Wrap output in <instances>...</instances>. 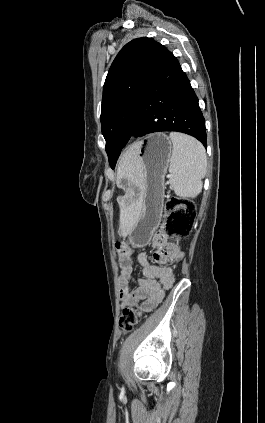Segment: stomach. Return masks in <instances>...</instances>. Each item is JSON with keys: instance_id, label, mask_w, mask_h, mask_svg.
Here are the masks:
<instances>
[{"instance_id": "1", "label": "stomach", "mask_w": 265, "mask_h": 423, "mask_svg": "<svg viewBox=\"0 0 265 423\" xmlns=\"http://www.w3.org/2000/svg\"><path fill=\"white\" fill-rule=\"evenodd\" d=\"M138 143L136 161L142 169V181L135 185L139 191L141 209L129 231L133 247H143L158 228L164 206V176L172 155V142L164 133L146 136Z\"/></svg>"}]
</instances>
